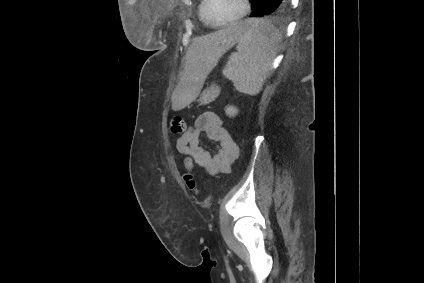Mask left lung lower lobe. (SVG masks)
Instances as JSON below:
<instances>
[{"label":"left lung lower lobe","instance_id":"0a47b994","mask_svg":"<svg viewBox=\"0 0 424 283\" xmlns=\"http://www.w3.org/2000/svg\"><path fill=\"white\" fill-rule=\"evenodd\" d=\"M290 0H258L250 17H262L276 13L279 10L285 11Z\"/></svg>","mask_w":424,"mask_h":283}]
</instances>
